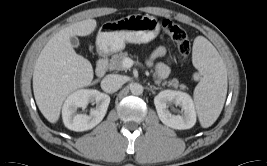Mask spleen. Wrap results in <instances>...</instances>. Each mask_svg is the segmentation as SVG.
<instances>
[{
	"label": "spleen",
	"instance_id": "3e777b00",
	"mask_svg": "<svg viewBox=\"0 0 267 166\" xmlns=\"http://www.w3.org/2000/svg\"><path fill=\"white\" fill-rule=\"evenodd\" d=\"M192 62L202 75L194 90V102L201 126L208 128L223 109L227 94V72L215 47L202 36L194 40Z\"/></svg>",
	"mask_w": 267,
	"mask_h": 166
}]
</instances>
